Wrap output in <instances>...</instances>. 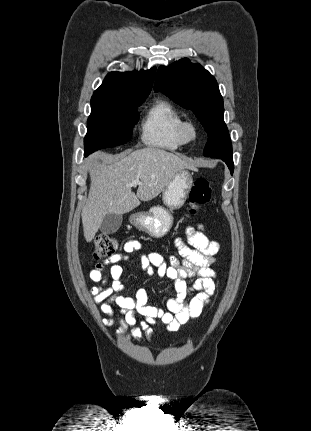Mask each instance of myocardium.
<instances>
[{
    "label": "myocardium",
    "mask_w": 311,
    "mask_h": 431,
    "mask_svg": "<svg viewBox=\"0 0 311 431\" xmlns=\"http://www.w3.org/2000/svg\"><path fill=\"white\" fill-rule=\"evenodd\" d=\"M189 126L194 127V129H195V135L194 136L189 135V133H188V127ZM201 132H202L201 125H200L199 121L194 119V118H185L180 123L179 133H180L181 139L185 143H193V142L197 141L201 135Z\"/></svg>",
    "instance_id": "obj_1"
}]
</instances>
